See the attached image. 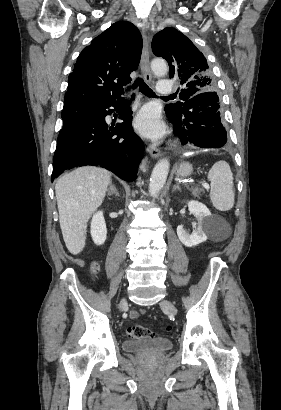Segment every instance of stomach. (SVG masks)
Returning a JSON list of instances; mask_svg holds the SVG:
<instances>
[{"mask_svg": "<svg viewBox=\"0 0 281 410\" xmlns=\"http://www.w3.org/2000/svg\"><path fill=\"white\" fill-rule=\"evenodd\" d=\"M193 167L190 163L184 162L179 165L176 171L178 177H188L192 174Z\"/></svg>", "mask_w": 281, "mask_h": 410, "instance_id": "obj_1", "label": "stomach"}]
</instances>
